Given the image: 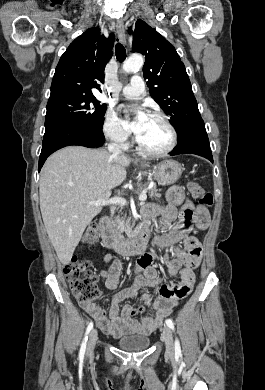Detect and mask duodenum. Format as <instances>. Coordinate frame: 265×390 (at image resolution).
I'll return each mask as SVG.
<instances>
[{"instance_id":"obj_1","label":"duodenum","mask_w":265,"mask_h":390,"mask_svg":"<svg viewBox=\"0 0 265 390\" xmlns=\"http://www.w3.org/2000/svg\"><path fill=\"white\" fill-rule=\"evenodd\" d=\"M99 226L103 245L116 250L121 255H132L141 252L149 237V224L145 218L142 219L139 228L130 234L128 240L118 237L111 230L108 216L101 218Z\"/></svg>"}]
</instances>
